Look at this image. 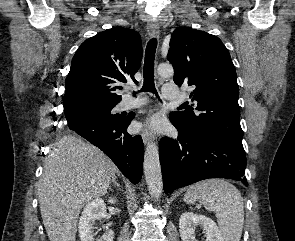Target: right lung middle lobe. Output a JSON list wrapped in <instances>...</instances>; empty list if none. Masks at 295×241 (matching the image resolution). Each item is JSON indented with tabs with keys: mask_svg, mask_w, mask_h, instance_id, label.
<instances>
[{
	"mask_svg": "<svg viewBox=\"0 0 295 241\" xmlns=\"http://www.w3.org/2000/svg\"><path fill=\"white\" fill-rule=\"evenodd\" d=\"M116 104L109 105H100V106H92L87 108H82L79 110L71 111L65 113L66 119L68 122H75L84 118L90 117H103L109 119H121L123 118L120 114H112V109Z\"/></svg>",
	"mask_w": 295,
	"mask_h": 241,
	"instance_id": "obj_1",
	"label": "right lung middle lobe"
}]
</instances>
